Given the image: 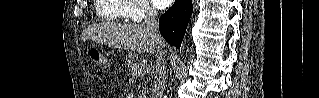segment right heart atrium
<instances>
[{"label": "right heart atrium", "mask_w": 319, "mask_h": 98, "mask_svg": "<svg viewBox=\"0 0 319 98\" xmlns=\"http://www.w3.org/2000/svg\"><path fill=\"white\" fill-rule=\"evenodd\" d=\"M131 8L127 15L128 18L133 20L140 19L143 17L154 15V9L150 6L146 0H132Z\"/></svg>", "instance_id": "obj_1"}]
</instances>
